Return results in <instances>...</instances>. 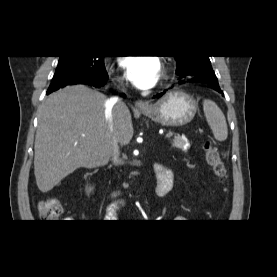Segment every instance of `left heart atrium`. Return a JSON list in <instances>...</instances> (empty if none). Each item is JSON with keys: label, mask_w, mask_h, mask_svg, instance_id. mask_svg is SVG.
<instances>
[{"label": "left heart atrium", "mask_w": 277, "mask_h": 277, "mask_svg": "<svg viewBox=\"0 0 277 277\" xmlns=\"http://www.w3.org/2000/svg\"><path fill=\"white\" fill-rule=\"evenodd\" d=\"M121 66L127 77L138 88L148 89L155 85L160 73V62L155 57H124Z\"/></svg>", "instance_id": "1"}]
</instances>
